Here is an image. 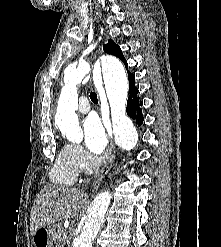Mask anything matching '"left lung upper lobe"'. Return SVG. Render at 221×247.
Masks as SVG:
<instances>
[{
	"label": "left lung upper lobe",
	"instance_id": "5c2ea615",
	"mask_svg": "<svg viewBox=\"0 0 221 247\" xmlns=\"http://www.w3.org/2000/svg\"><path fill=\"white\" fill-rule=\"evenodd\" d=\"M103 50L106 52V53H109V54H112V55H115L116 57L120 58L123 63L125 64V67L127 68L128 67V64H127V61L126 59L124 58L122 52H121V49L118 45L115 44V42L113 40H108V43L104 45L103 47ZM128 72V76H131L133 75L132 73H130L129 71Z\"/></svg>",
	"mask_w": 221,
	"mask_h": 247
}]
</instances>
